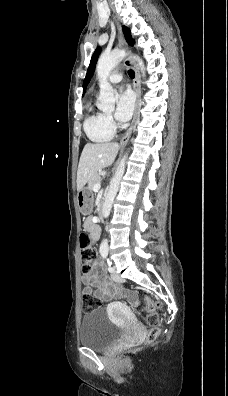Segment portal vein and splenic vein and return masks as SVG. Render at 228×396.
Segmentation results:
<instances>
[{
  "label": "portal vein and splenic vein",
  "mask_w": 228,
  "mask_h": 396,
  "mask_svg": "<svg viewBox=\"0 0 228 396\" xmlns=\"http://www.w3.org/2000/svg\"><path fill=\"white\" fill-rule=\"evenodd\" d=\"M99 189H100V183L95 184L93 190L98 191Z\"/></svg>",
  "instance_id": "18ae733b"
}]
</instances>
